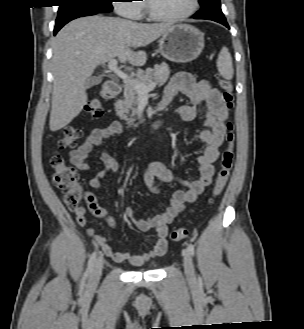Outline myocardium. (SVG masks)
<instances>
[{"mask_svg": "<svg viewBox=\"0 0 304 329\" xmlns=\"http://www.w3.org/2000/svg\"><path fill=\"white\" fill-rule=\"evenodd\" d=\"M144 1H145L146 13L149 16V18H151L152 20H155V21H160V22H176V21L186 19V18L192 16L193 14H195L199 7V0H192V5L188 11H186L182 14H179V15L168 16V15H161V14L157 13L153 9L150 0H144Z\"/></svg>", "mask_w": 304, "mask_h": 329, "instance_id": "obj_1", "label": "myocardium"}]
</instances>
